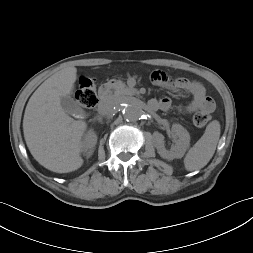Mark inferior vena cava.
Masks as SVG:
<instances>
[{"mask_svg": "<svg viewBox=\"0 0 253 253\" xmlns=\"http://www.w3.org/2000/svg\"><path fill=\"white\" fill-rule=\"evenodd\" d=\"M118 107V101L112 97L105 98L98 105V113L102 116L113 114Z\"/></svg>", "mask_w": 253, "mask_h": 253, "instance_id": "1", "label": "inferior vena cava"}]
</instances>
